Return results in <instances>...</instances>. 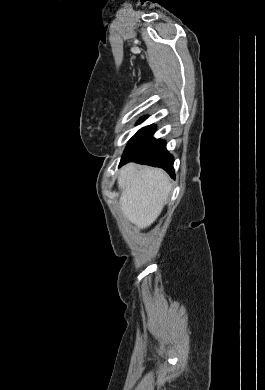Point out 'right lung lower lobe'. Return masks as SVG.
<instances>
[{
  "label": "right lung lower lobe",
  "mask_w": 265,
  "mask_h": 390,
  "mask_svg": "<svg viewBox=\"0 0 265 390\" xmlns=\"http://www.w3.org/2000/svg\"><path fill=\"white\" fill-rule=\"evenodd\" d=\"M154 131L153 125L140 129L129 141L119 166L128 162L151 165L163 168L174 178L173 157L166 150L165 141L153 138Z\"/></svg>",
  "instance_id": "98d812e1"
}]
</instances>
